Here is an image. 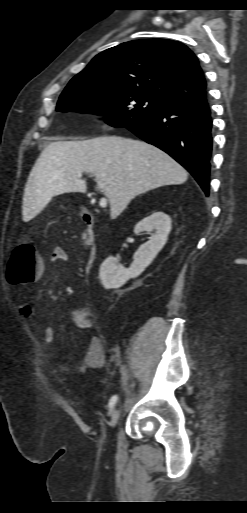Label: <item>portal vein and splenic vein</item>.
<instances>
[{"label": "portal vein and splenic vein", "mask_w": 247, "mask_h": 513, "mask_svg": "<svg viewBox=\"0 0 247 513\" xmlns=\"http://www.w3.org/2000/svg\"><path fill=\"white\" fill-rule=\"evenodd\" d=\"M78 176L81 177L82 173H78ZM100 207L105 208L107 205V199L105 197H102L99 202Z\"/></svg>", "instance_id": "1"}]
</instances>
